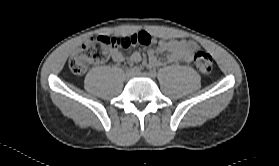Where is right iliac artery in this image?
Masks as SVG:
<instances>
[{
	"label": "right iliac artery",
	"mask_w": 279,
	"mask_h": 166,
	"mask_svg": "<svg viewBox=\"0 0 279 166\" xmlns=\"http://www.w3.org/2000/svg\"><path fill=\"white\" fill-rule=\"evenodd\" d=\"M134 73H140V68L139 67H133L132 69H131Z\"/></svg>",
	"instance_id": "82829eb1"
}]
</instances>
